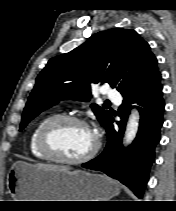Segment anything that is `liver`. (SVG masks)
<instances>
[{
    "label": "liver",
    "instance_id": "obj_1",
    "mask_svg": "<svg viewBox=\"0 0 176 211\" xmlns=\"http://www.w3.org/2000/svg\"><path fill=\"white\" fill-rule=\"evenodd\" d=\"M34 166L41 169H46V170H69V168L65 166H56V165H50V164H36Z\"/></svg>",
    "mask_w": 176,
    "mask_h": 211
}]
</instances>
